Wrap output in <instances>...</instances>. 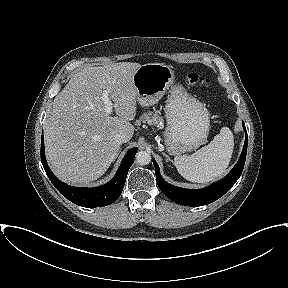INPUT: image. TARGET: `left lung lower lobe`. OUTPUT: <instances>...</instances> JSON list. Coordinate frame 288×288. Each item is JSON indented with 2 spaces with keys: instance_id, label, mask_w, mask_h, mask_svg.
I'll use <instances>...</instances> for the list:
<instances>
[{
  "instance_id": "left-lung-lower-lobe-1",
  "label": "left lung lower lobe",
  "mask_w": 288,
  "mask_h": 288,
  "mask_svg": "<svg viewBox=\"0 0 288 288\" xmlns=\"http://www.w3.org/2000/svg\"><path fill=\"white\" fill-rule=\"evenodd\" d=\"M243 128L245 130L246 137L243 150L237 164L233 167V169L228 173V175L224 179H222L217 183H213L207 188L192 190L176 187L167 183L161 177L159 166L153 159V164L156 173V181L163 194L172 201L186 206L207 205L222 197L236 183L244 168L247 153V143H248V136L244 122H243Z\"/></svg>"
}]
</instances>
